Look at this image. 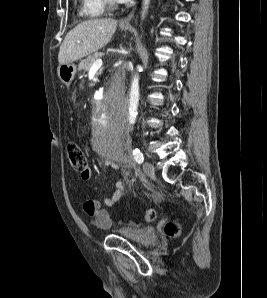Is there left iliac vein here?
<instances>
[{
    "label": "left iliac vein",
    "mask_w": 267,
    "mask_h": 298,
    "mask_svg": "<svg viewBox=\"0 0 267 298\" xmlns=\"http://www.w3.org/2000/svg\"><path fill=\"white\" fill-rule=\"evenodd\" d=\"M143 170H144L145 174L148 176H154V174H155L154 167L150 162H145L143 164Z\"/></svg>",
    "instance_id": "4c4485c4"
}]
</instances>
